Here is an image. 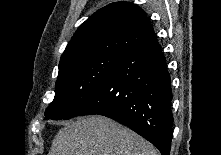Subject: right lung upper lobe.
<instances>
[{
	"label": "right lung upper lobe",
	"instance_id": "1",
	"mask_svg": "<svg viewBox=\"0 0 221 155\" xmlns=\"http://www.w3.org/2000/svg\"><path fill=\"white\" fill-rule=\"evenodd\" d=\"M153 36V27L141 8L128 2L111 3L80 25L61 56L59 70L102 53L125 55Z\"/></svg>",
	"mask_w": 221,
	"mask_h": 155
}]
</instances>
